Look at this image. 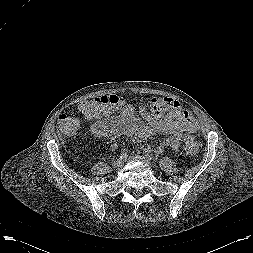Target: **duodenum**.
<instances>
[{"label": "duodenum", "instance_id": "obj_1", "mask_svg": "<svg viewBox=\"0 0 253 253\" xmlns=\"http://www.w3.org/2000/svg\"><path fill=\"white\" fill-rule=\"evenodd\" d=\"M103 128H104L106 131L113 130V129H115V123H114L113 121H111V122H106V123H104Z\"/></svg>", "mask_w": 253, "mask_h": 253}]
</instances>
